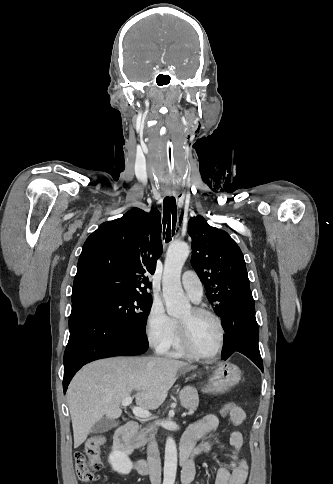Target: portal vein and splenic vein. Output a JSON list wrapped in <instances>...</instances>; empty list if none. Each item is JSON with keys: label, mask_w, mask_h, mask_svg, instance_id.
<instances>
[{"label": "portal vein and splenic vein", "mask_w": 333, "mask_h": 484, "mask_svg": "<svg viewBox=\"0 0 333 484\" xmlns=\"http://www.w3.org/2000/svg\"><path fill=\"white\" fill-rule=\"evenodd\" d=\"M131 403H132V397H130V396L125 397V398L122 400V402H121V404H122L123 406H128V405H130ZM132 411H133V414H134L136 417H140V418H149V417L151 416V413H150L148 410L143 409V408H141V407H133ZM189 413H190V414H193V411H190ZM182 416L184 417V416H186V414H183Z\"/></svg>", "instance_id": "portal-vein-and-splenic-vein-1"}]
</instances>
